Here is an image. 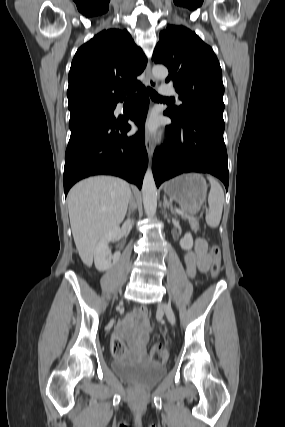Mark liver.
<instances>
[{"instance_id":"obj_1","label":"liver","mask_w":285,"mask_h":427,"mask_svg":"<svg viewBox=\"0 0 285 427\" xmlns=\"http://www.w3.org/2000/svg\"><path fill=\"white\" fill-rule=\"evenodd\" d=\"M130 185L116 177L87 178L71 188L67 203L73 238L84 264L91 266L98 241L123 221Z\"/></svg>"}]
</instances>
